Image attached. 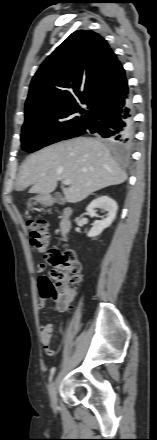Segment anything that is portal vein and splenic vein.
Returning <instances> with one entry per match:
<instances>
[{
    "label": "portal vein and splenic vein",
    "instance_id": "1",
    "mask_svg": "<svg viewBox=\"0 0 157 440\" xmlns=\"http://www.w3.org/2000/svg\"><path fill=\"white\" fill-rule=\"evenodd\" d=\"M70 183H71L70 180H68V179H67V180H64V184H65V185H70Z\"/></svg>",
    "mask_w": 157,
    "mask_h": 440
}]
</instances>
